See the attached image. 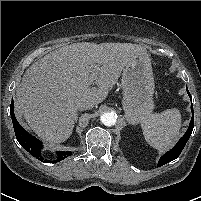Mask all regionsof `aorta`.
Returning <instances> with one entry per match:
<instances>
[{"mask_svg": "<svg viewBox=\"0 0 201 201\" xmlns=\"http://www.w3.org/2000/svg\"><path fill=\"white\" fill-rule=\"evenodd\" d=\"M100 120L104 125L112 126L116 123V115L112 112H106L101 115Z\"/></svg>", "mask_w": 201, "mask_h": 201, "instance_id": "aorta-1", "label": "aorta"}]
</instances>
